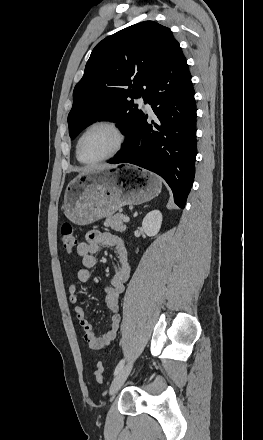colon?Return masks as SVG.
Here are the masks:
<instances>
[{
	"label": "colon",
	"instance_id": "colon-1",
	"mask_svg": "<svg viewBox=\"0 0 263 440\" xmlns=\"http://www.w3.org/2000/svg\"><path fill=\"white\" fill-rule=\"evenodd\" d=\"M61 243L65 251L71 253L77 246L78 240L71 223L65 222L61 227ZM95 379L98 383H102L103 377V366L98 364L94 371Z\"/></svg>",
	"mask_w": 263,
	"mask_h": 440
}]
</instances>
